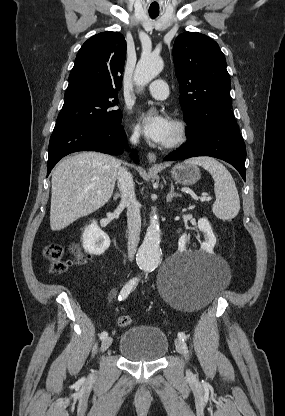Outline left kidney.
<instances>
[{"instance_id":"5707ae66","label":"left kidney","mask_w":285,"mask_h":416,"mask_svg":"<svg viewBox=\"0 0 285 416\" xmlns=\"http://www.w3.org/2000/svg\"><path fill=\"white\" fill-rule=\"evenodd\" d=\"M198 228L200 232H203L205 238V242H202L201 244V250H205V252H209V254H211L216 244V238L207 218H200V220H198ZM178 244L179 248L186 250L187 242L185 236H181V238H179Z\"/></svg>"}]
</instances>
